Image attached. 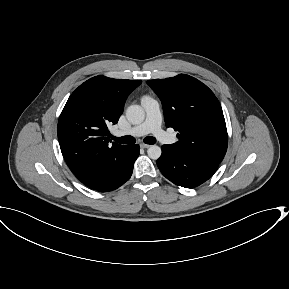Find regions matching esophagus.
I'll return each mask as SVG.
<instances>
[{"instance_id": "34e87169", "label": "esophagus", "mask_w": 289, "mask_h": 289, "mask_svg": "<svg viewBox=\"0 0 289 289\" xmlns=\"http://www.w3.org/2000/svg\"><path fill=\"white\" fill-rule=\"evenodd\" d=\"M150 146L151 145H149V144H144V143L140 144V147L144 148V149L149 148Z\"/></svg>"}]
</instances>
